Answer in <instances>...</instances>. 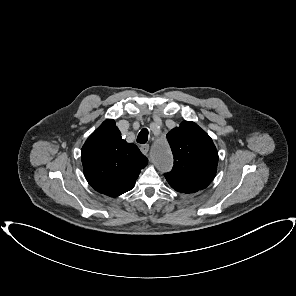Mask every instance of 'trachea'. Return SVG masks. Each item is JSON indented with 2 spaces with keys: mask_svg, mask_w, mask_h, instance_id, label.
Segmentation results:
<instances>
[{
  "mask_svg": "<svg viewBox=\"0 0 296 296\" xmlns=\"http://www.w3.org/2000/svg\"><path fill=\"white\" fill-rule=\"evenodd\" d=\"M148 134L149 132L147 129H142L138 134L137 142L140 144H145L148 140Z\"/></svg>",
  "mask_w": 296,
  "mask_h": 296,
  "instance_id": "trachea-1",
  "label": "trachea"
}]
</instances>
